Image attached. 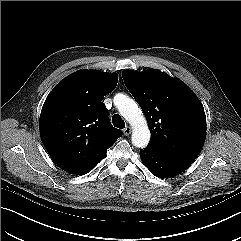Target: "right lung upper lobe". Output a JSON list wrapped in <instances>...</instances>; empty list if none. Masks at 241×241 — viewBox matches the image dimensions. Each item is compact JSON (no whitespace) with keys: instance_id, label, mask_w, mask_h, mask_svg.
I'll return each instance as SVG.
<instances>
[{"instance_id":"1","label":"right lung upper lobe","mask_w":241,"mask_h":241,"mask_svg":"<svg viewBox=\"0 0 241 241\" xmlns=\"http://www.w3.org/2000/svg\"><path fill=\"white\" fill-rule=\"evenodd\" d=\"M116 74L80 70L64 78L46 98L40 115L42 142L54 162L78 174L102 160L122 135L108 119L102 99Z\"/></svg>"}]
</instances>
